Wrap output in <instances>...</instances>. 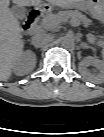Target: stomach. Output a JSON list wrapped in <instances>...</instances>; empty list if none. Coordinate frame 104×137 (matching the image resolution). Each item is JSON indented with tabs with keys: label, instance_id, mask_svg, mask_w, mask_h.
Returning <instances> with one entry per match:
<instances>
[{
	"label": "stomach",
	"instance_id": "stomach-1",
	"mask_svg": "<svg viewBox=\"0 0 104 137\" xmlns=\"http://www.w3.org/2000/svg\"><path fill=\"white\" fill-rule=\"evenodd\" d=\"M72 6H77L82 9H87L94 16L100 14L103 9V0H83L79 4H74Z\"/></svg>",
	"mask_w": 104,
	"mask_h": 137
}]
</instances>
